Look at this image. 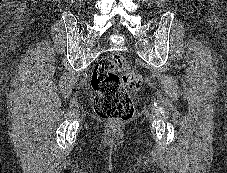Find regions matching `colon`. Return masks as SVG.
I'll return each instance as SVG.
<instances>
[{
  "label": "colon",
  "mask_w": 227,
  "mask_h": 173,
  "mask_svg": "<svg viewBox=\"0 0 227 173\" xmlns=\"http://www.w3.org/2000/svg\"><path fill=\"white\" fill-rule=\"evenodd\" d=\"M142 77L120 55L100 60L94 67L91 85L96 92L94 112L98 118L127 121L134 114L130 90L141 87Z\"/></svg>",
  "instance_id": "colon-1"
}]
</instances>
